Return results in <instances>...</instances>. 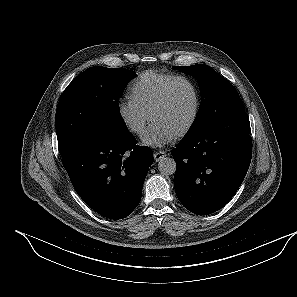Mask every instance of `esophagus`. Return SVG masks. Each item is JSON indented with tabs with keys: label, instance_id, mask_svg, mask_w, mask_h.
I'll return each mask as SVG.
<instances>
[{
	"label": "esophagus",
	"instance_id": "esophagus-1",
	"mask_svg": "<svg viewBox=\"0 0 297 297\" xmlns=\"http://www.w3.org/2000/svg\"><path fill=\"white\" fill-rule=\"evenodd\" d=\"M166 156V152L165 151H157L154 152V160L155 161H160L162 158H164Z\"/></svg>",
	"mask_w": 297,
	"mask_h": 297
}]
</instances>
